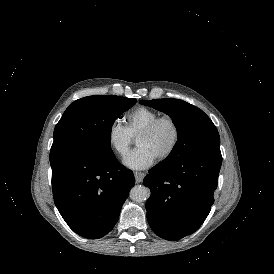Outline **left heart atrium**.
Wrapping results in <instances>:
<instances>
[{"mask_svg":"<svg viewBox=\"0 0 274 274\" xmlns=\"http://www.w3.org/2000/svg\"><path fill=\"white\" fill-rule=\"evenodd\" d=\"M123 164L133 170H143L150 167L155 157L144 147H137L128 152L122 159Z\"/></svg>","mask_w":274,"mask_h":274,"instance_id":"obj_1","label":"left heart atrium"}]
</instances>
